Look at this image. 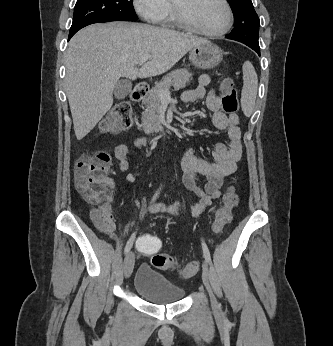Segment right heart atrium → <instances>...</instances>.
I'll use <instances>...</instances> for the list:
<instances>
[{
    "instance_id": "1",
    "label": "right heart atrium",
    "mask_w": 333,
    "mask_h": 346,
    "mask_svg": "<svg viewBox=\"0 0 333 346\" xmlns=\"http://www.w3.org/2000/svg\"><path fill=\"white\" fill-rule=\"evenodd\" d=\"M137 13L150 23H161L169 14V0H133Z\"/></svg>"
}]
</instances>
